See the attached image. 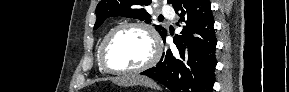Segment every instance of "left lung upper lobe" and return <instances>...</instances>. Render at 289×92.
I'll list each match as a JSON object with an SVG mask.
<instances>
[{
  "instance_id": "left-lung-upper-lobe-1",
  "label": "left lung upper lobe",
  "mask_w": 289,
  "mask_h": 92,
  "mask_svg": "<svg viewBox=\"0 0 289 92\" xmlns=\"http://www.w3.org/2000/svg\"><path fill=\"white\" fill-rule=\"evenodd\" d=\"M176 0H168L172 4ZM151 0H101L96 8L97 20L94 25V30L97 29L107 17L124 16L137 18L150 23V14L145 10V6L149 5ZM156 30L164 37L166 29L162 26H155Z\"/></svg>"
}]
</instances>
